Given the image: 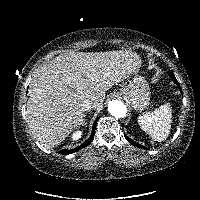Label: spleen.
Returning a JSON list of instances; mask_svg holds the SVG:
<instances>
[{"label":"spleen","mask_w":200,"mask_h":200,"mask_svg":"<svg viewBox=\"0 0 200 200\" xmlns=\"http://www.w3.org/2000/svg\"><path fill=\"white\" fill-rule=\"evenodd\" d=\"M171 107L169 103L161 105L153 112H147L138 117L140 128L155 141H164L171 128Z\"/></svg>","instance_id":"3e777b00"}]
</instances>
